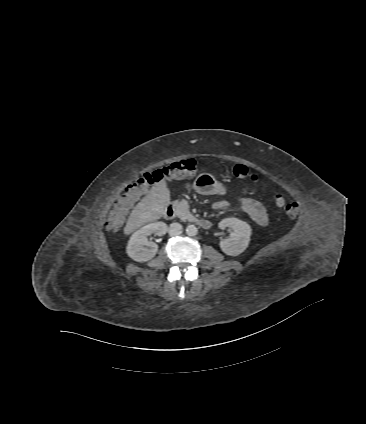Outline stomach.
I'll return each instance as SVG.
<instances>
[{
	"mask_svg": "<svg viewBox=\"0 0 366 424\" xmlns=\"http://www.w3.org/2000/svg\"><path fill=\"white\" fill-rule=\"evenodd\" d=\"M192 188L202 195H224L225 187L223 184L215 179L209 173L199 174L194 182Z\"/></svg>",
	"mask_w": 366,
	"mask_h": 424,
	"instance_id": "0dacf381",
	"label": "stomach"
}]
</instances>
